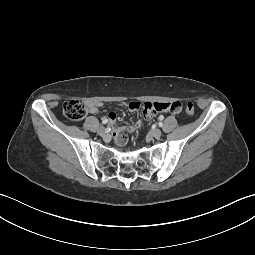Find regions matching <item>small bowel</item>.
Wrapping results in <instances>:
<instances>
[{
    "label": "small bowel",
    "instance_id": "obj_1",
    "mask_svg": "<svg viewBox=\"0 0 255 255\" xmlns=\"http://www.w3.org/2000/svg\"><path fill=\"white\" fill-rule=\"evenodd\" d=\"M98 105L99 103H91L89 106L91 114L98 113ZM141 106L139 102H131L129 108L134 110ZM183 111V104L180 101H171V102H146L143 104V114L146 119H150L154 117L156 114L160 112L180 114ZM117 116L115 113H110L107 117L111 123L115 122ZM141 123H138L136 126L121 128H114V136L116 141L119 144H123L126 141L125 131L131 132L137 127H139Z\"/></svg>",
    "mask_w": 255,
    "mask_h": 255
}]
</instances>
